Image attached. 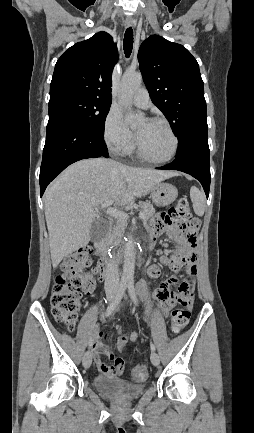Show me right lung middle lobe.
I'll return each instance as SVG.
<instances>
[{
	"label": "right lung middle lobe",
	"mask_w": 254,
	"mask_h": 433,
	"mask_svg": "<svg viewBox=\"0 0 254 433\" xmlns=\"http://www.w3.org/2000/svg\"><path fill=\"white\" fill-rule=\"evenodd\" d=\"M111 103L95 99H66L49 105V116L63 115L93 131L104 134L105 119Z\"/></svg>",
	"instance_id": "obj_1"
}]
</instances>
